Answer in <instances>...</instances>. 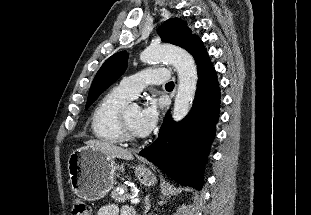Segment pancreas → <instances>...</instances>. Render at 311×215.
Listing matches in <instances>:
<instances>
[{"label": "pancreas", "mask_w": 311, "mask_h": 215, "mask_svg": "<svg viewBox=\"0 0 311 215\" xmlns=\"http://www.w3.org/2000/svg\"><path fill=\"white\" fill-rule=\"evenodd\" d=\"M123 190L125 191L124 194H122L120 191ZM133 190V189H132ZM128 189L124 185H119L116 189H114L111 192V197L115 200V202H125L128 198Z\"/></svg>", "instance_id": "1"}]
</instances>
